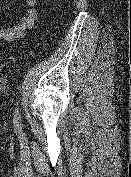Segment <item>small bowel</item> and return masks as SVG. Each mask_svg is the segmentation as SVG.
I'll list each match as a JSON object with an SVG mask.
<instances>
[{
  "label": "small bowel",
  "mask_w": 131,
  "mask_h": 177,
  "mask_svg": "<svg viewBox=\"0 0 131 177\" xmlns=\"http://www.w3.org/2000/svg\"><path fill=\"white\" fill-rule=\"evenodd\" d=\"M27 11L20 22L10 27H0V40L15 41L24 36L25 32L31 29L37 18V0H25Z\"/></svg>",
  "instance_id": "obj_1"
}]
</instances>
